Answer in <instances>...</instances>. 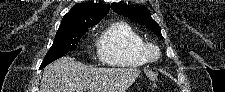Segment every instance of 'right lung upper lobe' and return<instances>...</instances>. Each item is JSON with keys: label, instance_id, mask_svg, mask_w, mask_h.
<instances>
[{"label": "right lung upper lobe", "instance_id": "1", "mask_svg": "<svg viewBox=\"0 0 225 92\" xmlns=\"http://www.w3.org/2000/svg\"><path fill=\"white\" fill-rule=\"evenodd\" d=\"M109 9L110 6L105 4L78 3L63 17L59 29L75 28L98 22L107 15Z\"/></svg>", "mask_w": 225, "mask_h": 92}]
</instances>
